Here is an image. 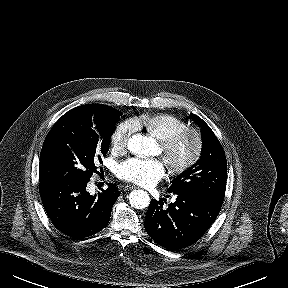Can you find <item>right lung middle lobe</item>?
Returning <instances> with one entry per match:
<instances>
[{
    "mask_svg": "<svg viewBox=\"0 0 288 288\" xmlns=\"http://www.w3.org/2000/svg\"><path fill=\"white\" fill-rule=\"evenodd\" d=\"M121 115L103 104L78 106L65 113L43 143L39 182H88L109 150L110 136Z\"/></svg>",
    "mask_w": 288,
    "mask_h": 288,
    "instance_id": "obj_1",
    "label": "right lung middle lobe"
}]
</instances>
